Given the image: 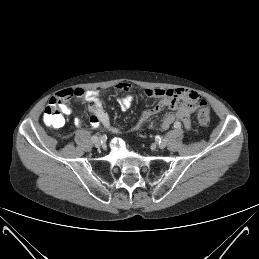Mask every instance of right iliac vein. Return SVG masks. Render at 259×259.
Returning <instances> with one entry per match:
<instances>
[{
    "label": "right iliac vein",
    "mask_w": 259,
    "mask_h": 259,
    "mask_svg": "<svg viewBox=\"0 0 259 259\" xmlns=\"http://www.w3.org/2000/svg\"><path fill=\"white\" fill-rule=\"evenodd\" d=\"M94 145L96 147H101L103 146L102 140L101 139H97L96 141H94Z\"/></svg>",
    "instance_id": "obj_1"
}]
</instances>
